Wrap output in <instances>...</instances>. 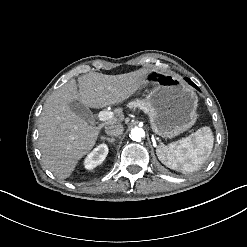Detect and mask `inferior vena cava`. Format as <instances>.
<instances>
[{
  "mask_svg": "<svg viewBox=\"0 0 247 247\" xmlns=\"http://www.w3.org/2000/svg\"><path fill=\"white\" fill-rule=\"evenodd\" d=\"M105 131L109 136H119L123 134L124 128L121 123L112 122L106 125Z\"/></svg>",
  "mask_w": 247,
  "mask_h": 247,
  "instance_id": "1",
  "label": "inferior vena cava"
}]
</instances>
